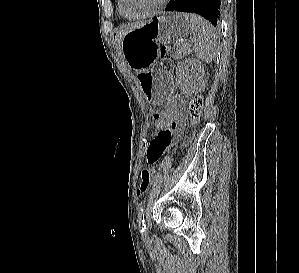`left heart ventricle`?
<instances>
[{"instance_id": "1", "label": "left heart ventricle", "mask_w": 299, "mask_h": 273, "mask_svg": "<svg viewBox=\"0 0 299 273\" xmlns=\"http://www.w3.org/2000/svg\"><path fill=\"white\" fill-rule=\"evenodd\" d=\"M160 0H123V9L127 15L136 16L153 9Z\"/></svg>"}]
</instances>
